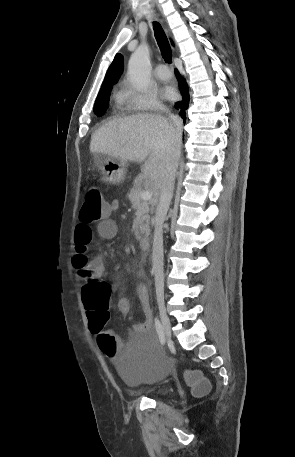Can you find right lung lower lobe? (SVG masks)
Instances as JSON below:
<instances>
[{"mask_svg": "<svg viewBox=\"0 0 295 457\" xmlns=\"http://www.w3.org/2000/svg\"><path fill=\"white\" fill-rule=\"evenodd\" d=\"M175 73H176L177 79L179 81V89H180L181 95L183 97L182 101H179L175 104V107L180 110L179 114L185 121L186 110L188 109L189 100H190L188 86H187V83L185 82V80L181 78L177 69L175 70Z\"/></svg>", "mask_w": 295, "mask_h": 457, "instance_id": "1", "label": "right lung lower lobe"}]
</instances>
